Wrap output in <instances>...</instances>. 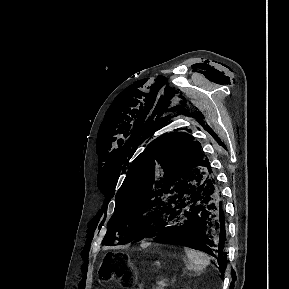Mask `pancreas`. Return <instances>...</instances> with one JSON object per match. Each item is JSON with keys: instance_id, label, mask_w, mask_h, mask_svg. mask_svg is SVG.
I'll list each match as a JSON object with an SVG mask.
<instances>
[{"instance_id": "obj_1", "label": "pancreas", "mask_w": 289, "mask_h": 289, "mask_svg": "<svg viewBox=\"0 0 289 289\" xmlns=\"http://www.w3.org/2000/svg\"><path fill=\"white\" fill-rule=\"evenodd\" d=\"M153 289H161V288L158 286V287H154Z\"/></svg>"}]
</instances>
